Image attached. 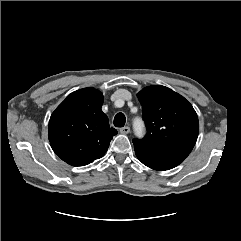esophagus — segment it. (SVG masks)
<instances>
[{"label":"esophagus","instance_id":"esophagus-1","mask_svg":"<svg viewBox=\"0 0 241 241\" xmlns=\"http://www.w3.org/2000/svg\"><path fill=\"white\" fill-rule=\"evenodd\" d=\"M130 132V127L129 126H124L120 128V133L122 134H128Z\"/></svg>","mask_w":241,"mask_h":241}]
</instances>
